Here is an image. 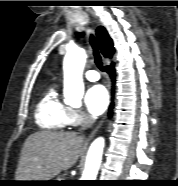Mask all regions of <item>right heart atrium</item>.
<instances>
[{
	"label": "right heart atrium",
	"mask_w": 178,
	"mask_h": 186,
	"mask_svg": "<svg viewBox=\"0 0 178 186\" xmlns=\"http://www.w3.org/2000/svg\"><path fill=\"white\" fill-rule=\"evenodd\" d=\"M88 121V116L79 109H71L69 124L71 126H78Z\"/></svg>",
	"instance_id": "1"
}]
</instances>
